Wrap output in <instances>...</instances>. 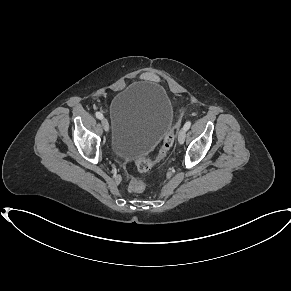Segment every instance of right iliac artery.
<instances>
[{
    "mask_svg": "<svg viewBox=\"0 0 291 291\" xmlns=\"http://www.w3.org/2000/svg\"><path fill=\"white\" fill-rule=\"evenodd\" d=\"M95 115H96V117H97L98 119H102V118H103V114L100 113V112H96Z\"/></svg>",
    "mask_w": 291,
    "mask_h": 291,
    "instance_id": "right-iliac-artery-1",
    "label": "right iliac artery"
}]
</instances>
